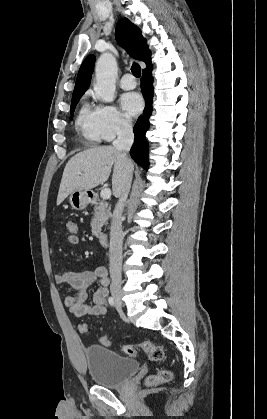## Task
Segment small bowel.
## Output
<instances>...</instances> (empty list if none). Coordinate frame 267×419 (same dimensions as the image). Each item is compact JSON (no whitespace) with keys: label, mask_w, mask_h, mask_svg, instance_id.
Listing matches in <instances>:
<instances>
[{"label":"small bowel","mask_w":267,"mask_h":419,"mask_svg":"<svg viewBox=\"0 0 267 419\" xmlns=\"http://www.w3.org/2000/svg\"><path fill=\"white\" fill-rule=\"evenodd\" d=\"M55 282L70 287L74 293L65 295L63 302L75 317L102 316L108 311L107 293L110 283L108 271L103 266L93 270L56 272ZM96 281L100 287L92 296L93 304H87L88 289Z\"/></svg>","instance_id":"small-bowel-1"}]
</instances>
